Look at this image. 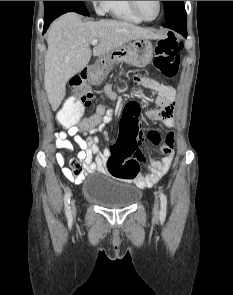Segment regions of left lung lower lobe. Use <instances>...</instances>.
<instances>
[{"mask_svg":"<svg viewBox=\"0 0 233 295\" xmlns=\"http://www.w3.org/2000/svg\"><path fill=\"white\" fill-rule=\"evenodd\" d=\"M163 26L177 31L178 33L182 34V36H184L185 38L187 37L186 16H183L172 21H167V23Z\"/></svg>","mask_w":233,"mask_h":295,"instance_id":"0a47b994","label":"left lung lower lobe"}]
</instances>
